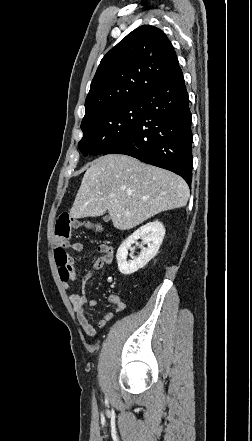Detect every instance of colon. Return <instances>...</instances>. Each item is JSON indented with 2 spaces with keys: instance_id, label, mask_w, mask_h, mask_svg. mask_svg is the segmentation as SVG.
Listing matches in <instances>:
<instances>
[{
  "instance_id": "1",
  "label": "colon",
  "mask_w": 252,
  "mask_h": 441,
  "mask_svg": "<svg viewBox=\"0 0 252 441\" xmlns=\"http://www.w3.org/2000/svg\"><path fill=\"white\" fill-rule=\"evenodd\" d=\"M73 225V221L68 214L61 215L55 225V258L65 273L68 272L69 254L67 247Z\"/></svg>"
}]
</instances>
